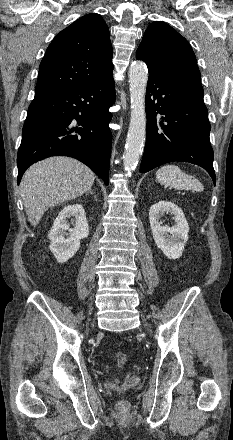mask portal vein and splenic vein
I'll use <instances>...</instances> for the list:
<instances>
[{"label":"portal vein and splenic vein","instance_id":"18ae733b","mask_svg":"<svg viewBox=\"0 0 233 440\" xmlns=\"http://www.w3.org/2000/svg\"><path fill=\"white\" fill-rule=\"evenodd\" d=\"M179 193H182V194H184V192H181V191H179Z\"/></svg>","mask_w":233,"mask_h":440}]
</instances>
